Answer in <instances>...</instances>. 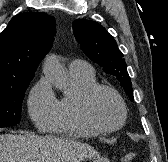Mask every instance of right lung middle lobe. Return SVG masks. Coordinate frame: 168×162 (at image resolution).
Segmentation results:
<instances>
[{
	"label": "right lung middle lobe",
	"instance_id": "right-lung-middle-lobe-1",
	"mask_svg": "<svg viewBox=\"0 0 168 162\" xmlns=\"http://www.w3.org/2000/svg\"><path fill=\"white\" fill-rule=\"evenodd\" d=\"M33 78L0 84V128L20 122L22 101Z\"/></svg>",
	"mask_w": 168,
	"mask_h": 162
}]
</instances>
